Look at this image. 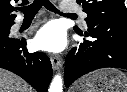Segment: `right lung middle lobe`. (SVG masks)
I'll return each instance as SVG.
<instances>
[{
    "label": "right lung middle lobe",
    "instance_id": "dd1d6c3e",
    "mask_svg": "<svg viewBox=\"0 0 127 92\" xmlns=\"http://www.w3.org/2000/svg\"><path fill=\"white\" fill-rule=\"evenodd\" d=\"M11 25H0V34H4L10 31Z\"/></svg>",
    "mask_w": 127,
    "mask_h": 92
}]
</instances>
